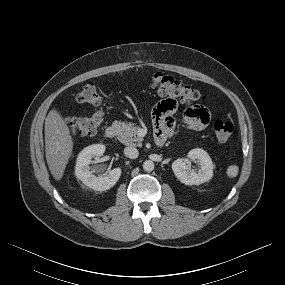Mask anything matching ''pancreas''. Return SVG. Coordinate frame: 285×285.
I'll return each instance as SVG.
<instances>
[{"label":"pancreas","instance_id":"cf45deb5","mask_svg":"<svg viewBox=\"0 0 285 285\" xmlns=\"http://www.w3.org/2000/svg\"><path fill=\"white\" fill-rule=\"evenodd\" d=\"M114 127L118 128V140L129 146H141L142 139L137 136L138 126L133 123L116 121Z\"/></svg>","mask_w":285,"mask_h":285}]
</instances>
